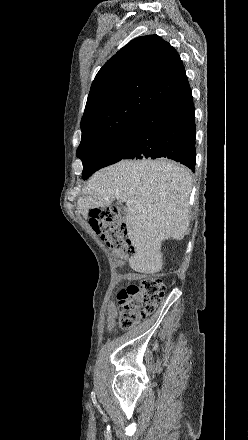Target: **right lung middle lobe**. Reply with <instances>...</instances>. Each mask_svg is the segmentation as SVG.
<instances>
[{
	"instance_id": "dd1d6c3e",
	"label": "right lung middle lobe",
	"mask_w": 248,
	"mask_h": 440,
	"mask_svg": "<svg viewBox=\"0 0 248 440\" xmlns=\"http://www.w3.org/2000/svg\"><path fill=\"white\" fill-rule=\"evenodd\" d=\"M129 144L128 129L123 128L88 146L77 149V157L83 163V179L86 180L95 171L120 161Z\"/></svg>"
}]
</instances>
